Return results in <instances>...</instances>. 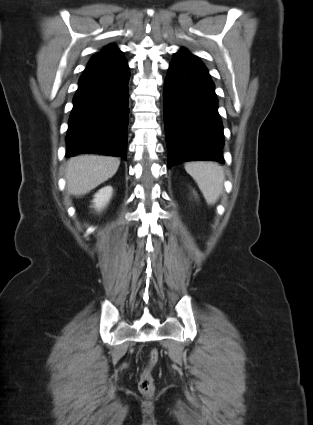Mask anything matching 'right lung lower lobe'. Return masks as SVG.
Returning a JSON list of instances; mask_svg holds the SVG:
<instances>
[{"label":"right lung lower lobe","mask_w":313,"mask_h":425,"mask_svg":"<svg viewBox=\"0 0 313 425\" xmlns=\"http://www.w3.org/2000/svg\"><path fill=\"white\" fill-rule=\"evenodd\" d=\"M123 56L95 55L80 77L66 136V157L98 153L126 158L128 82Z\"/></svg>","instance_id":"98d812e1"}]
</instances>
